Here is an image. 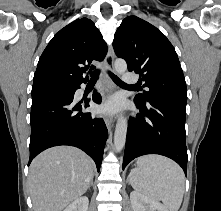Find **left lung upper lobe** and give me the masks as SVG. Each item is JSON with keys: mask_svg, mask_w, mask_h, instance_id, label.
<instances>
[{"mask_svg": "<svg viewBox=\"0 0 221 211\" xmlns=\"http://www.w3.org/2000/svg\"><path fill=\"white\" fill-rule=\"evenodd\" d=\"M113 47L128 70L140 74L149 90L135 97L141 104L156 100L187 102L186 82L176 51L166 36L150 23L128 16L118 27Z\"/></svg>", "mask_w": 221, "mask_h": 211, "instance_id": "5c2ea615", "label": "left lung upper lobe"}]
</instances>
